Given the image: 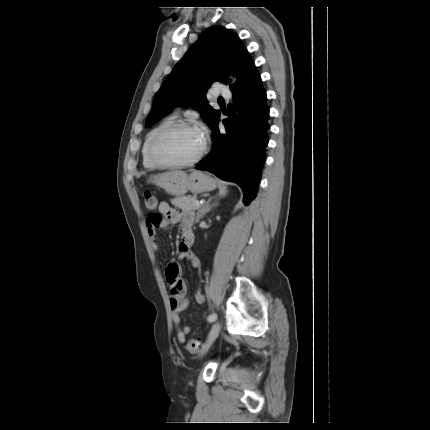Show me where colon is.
Instances as JSON below:
<instances>
[{"label": "colon", "mask_w": 430, "mask_h": 430, "mask_svg": "<svg viewBox=\"0 0 430 430\" xmlns=\"http://www.w3.org/2000/svg\"><path fill=\"white\" fill-rule=\"evenodd\" d=\"M144 198L146 207L149 209H154L157 203L154 195L150 191H145ZM186 348L191 354H195L201 348V342L198 339H190L186 345Z\"/></svg>", "instance_id": "obj_1"}]
</instances>
